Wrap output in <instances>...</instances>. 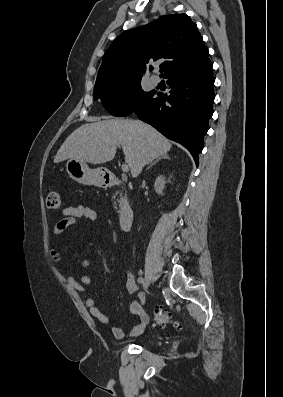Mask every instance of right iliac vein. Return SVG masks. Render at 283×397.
<instances>
[{
	"mask_svg": "<svg viewBox=\"0 0 283 397\" xmlns=\"http://www.w3.org/2000/svg\"><path fill=\"white\" fill-rule=\"evenodd\" d=\"M151 282V279L149 277H147L143 283L144 288H147L149 286Z\"/></svg>",
	"mask_w": 283,
	"mask_h": 397,
	"instance_id": "obj_1",
	"label": "right iliac vein"
}]
</instances>
